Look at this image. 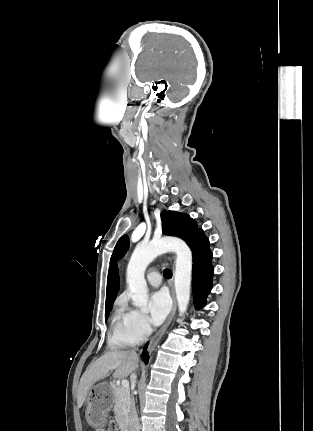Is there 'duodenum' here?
<instances>
[{"instance_id": "410a0bca", "label": "duodenum", "mask_w": 313, "mask_h": 431, "mask_svg": "<svg viewBox=\"0 0 313 431\" xmlns=\"http://www.w3.org/2000/svg\"><path fill=\"white\" fill-rule=\"evenodd\" d=\"M121 431H136L130 424L129 420H125L121 426Z\"/></svg>"}]
</instances>
